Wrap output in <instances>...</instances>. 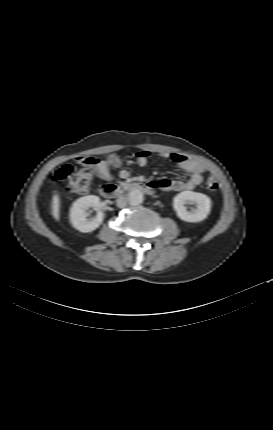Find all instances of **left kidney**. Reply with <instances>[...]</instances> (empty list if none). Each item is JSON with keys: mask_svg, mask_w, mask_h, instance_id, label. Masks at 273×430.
Returning <instances> with one entry per match:
<instances>
[{"mask_svg": "<svg viewBox=\"0 0 273 430\" xmlns=\"http://www.w3.org/2000/svg\"><path fill=\"white\" fill-rule=\"evenodd\" d=\"M186 205L196 207L188 210ZM173 207L181 220L196 223L207 218L211 210V200L203 193L183 191L174 197Z\"/></svg>", "mask_w": 273, "mask_h": 430, "instance_id": "1", "label": "left kidney"}]
</instances>
